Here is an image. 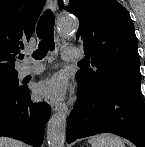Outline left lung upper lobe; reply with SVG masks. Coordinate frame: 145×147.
Instances as JSON below:
<instances>
[{
	"label": "left lung upper lobe",
	"mask_w": 145,
	"mask_h": 147,
	"mask_svg": "<svg viewBox=\"0 0 145 147\" xmlns=\"http://www.w3.org/2000/svg\"><path fill=\"white\" fill-rule=\"evenodd\" d=\"M59 7L78 17L77 39L83 42L87 63L94 67L78 71L76 80L97 89L119 77H141L134 25L120 3L69 0L64 7L59 0Z\"/></svg>",
	"instance_id": "5c2ea615"
}]
</instances>
